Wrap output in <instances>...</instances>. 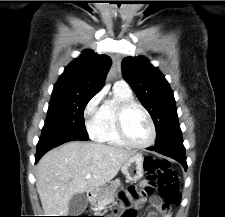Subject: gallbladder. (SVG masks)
<instances>
[{
    "instance_id": "1",
    "label": "gallbladder",
    "mask_w": 225,
    "mask_h": 217,
    "mask_svg": "<svg viewBox=\"0 0 225 217\" xmlns=\"http://www.w3.org/2000/svg\"><path fill=\"white\" fill-rule=\"evenodd\" d=\"M87 204L88 200L84 194H74L69 201L70 216H79L80 214H82L85 211Z\"/></svg>"
}]
</instances>
